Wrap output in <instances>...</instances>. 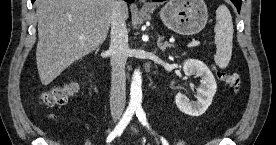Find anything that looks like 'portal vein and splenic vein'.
<instances>
[{
    "instance_id": "18ae733b",
    "label": "portal vein and splenic vein",
    "mask_w": 276,
    "mask_h": 145,
    "mask_svg": "<svg viewBox=\"0 0 276 145\" xmlns=\"http://www.w3.org/2000/svg\"><path fill=\"white\" fill-rule=\"evenodd\" d=\"M80 39L82 40V39H84L83 37H80ZM198 45H200V41H192V42H190L187 46L189 47V48H191V47H196V46H198Z\"/></svg>"
}]
</instances>
